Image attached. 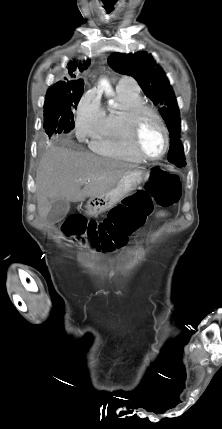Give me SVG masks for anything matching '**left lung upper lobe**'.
<instances>
[{
	"mask_svg": "<svg viewBox=\"0 0 222 429\" xmlns=\"http://www.w3.org/2000/svg\"><path fill=\"white\" fill-rule=\"evenodd\" d=\"M116 72L134 77L146 96L160 106L170 136L168 160L175 165H186L184 148L180 140L179 107L173 89L164 71L147 52L135 54L114 53L108 58Z\"/></svg>",
	"mask_w": 222,
	"mask_h": 429,
	"instance_id": "obj_1",
	"label": "left lung upper lobe"
}]
</instances>
